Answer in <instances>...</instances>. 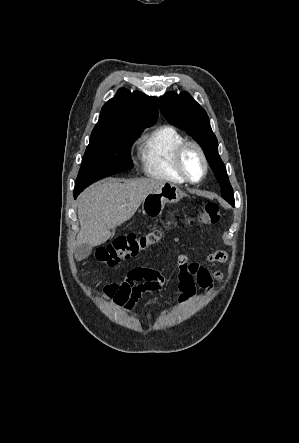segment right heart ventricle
Wrapping results in <instances>:
<instances>
[{"label": "right heart ventricle", "mask_w": 299, "mask_h": 443, "mask_svg": "<svg viewBox=\"0 0 299 443\" xmlns=\"http://www.w3.org/2000/svg\"><path fill=\"white\" fill-rule=\"evenodd\" d=\"M185 136L174 126L158 127L147 135L140 149L143 171L146 175L173 183H184L175 166L177 148Z\"/></svg>", "instance_id": "e07e8e85"}]
</instances>
